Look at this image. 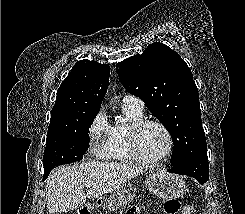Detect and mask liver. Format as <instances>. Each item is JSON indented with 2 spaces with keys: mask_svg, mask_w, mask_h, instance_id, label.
Returning a JSON list of instances; mask_svg holds the SVG:
<instances>
[{
  "mask_svg": "<svg viewBox=\"0 0 245 214\" xmlns=\"http://www.w3.org/2000/svg\"><path fill=\"white\" fill-rule=\"evenodd\" d=\"M143 172L123 163L87 161L56 168L46 181L49 214L67 212L85 204L87 198H99L125 185ZM92 184L87 187L85 184Z\"/></svg>",
  "mask_w": 245,
  "mask_h": 214,
  "instance_id": "liver-1",
  "label": "liver"
}]
</instances>
